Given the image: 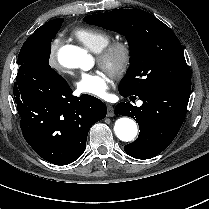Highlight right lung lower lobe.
I'll return each mask as SVG.
<instances>
[{
    "mask_svg": "<svg viewBox=\"0 0 209 209\" xmlns=\"http://www.w3.org/2000/svg\"><path fill=\"white\" fill-rule=\"evenodd\" d=\"M13 94L25 140L56 165L70 164L83 154L91 126L107 113L106 105L93 96L74 97L55 70H19Z\"/></svg>",
    "mask_w": 209,
    "mask_h": 209,
    "instance_id": "right-lung-lower-lobe-1",
    "label": "right lung lower lobe"
}]
</instances>
